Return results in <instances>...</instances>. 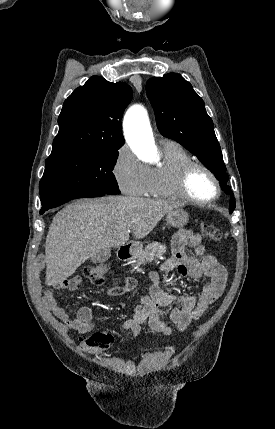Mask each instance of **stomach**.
<instances>
[{"instance_id": "stomach-1", "label": "stomach", "mask_w": 275, "mask_h": 429, "mask_svg": "<svg viewBox=\"0 0 275 429\" xmlns=\"http://www.w3.org/2000/svg\"><path fill=\"white\" fill-rule=\"evenodd\" d=\"M189 220L188 213L182 208H176L166 215V222L172 227H182ZM136 254V250L132 252V257Z\"/></svg>"}]
</instances>
